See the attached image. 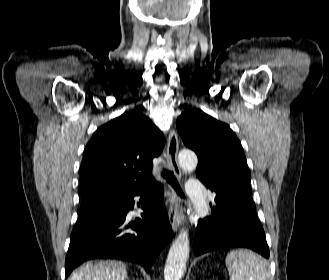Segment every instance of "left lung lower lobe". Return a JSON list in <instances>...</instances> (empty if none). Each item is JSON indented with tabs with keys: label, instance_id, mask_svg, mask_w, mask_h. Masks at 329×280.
Wrapping results in <instances>:
<instances>
[{
	"label": "left lung lower lobe",
	"instance_id": "0a47b994",
	"mask_svg": "<svg viewBox=\"0 0 329 280\" xmlns=\"http://www.w3.org/2000/svg\"><path fill=\"white\" fill-rule=\"evenodd\" d=\"M227 247H246L269 257L265 233L247 190L215 199L211 215L198 221L193 244L196 256Z\"/></svg>",
	"mask_w": 329,
	"mask_h": 280
}]
</instances>
